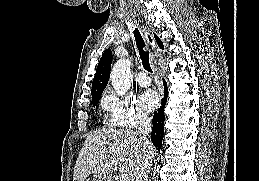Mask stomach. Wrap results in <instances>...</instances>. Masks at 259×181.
I'll list each match as a JSON object with an SVG mask.
<instances>
[{"label": "stomach", "instance_id": "stomach-1", "mask_svg": "<svg viewBox=\"0 0 259 181\" xmlns=\"http://www.w3.org/2000/svg\"><path fill=\"white\" fill-rule=\"evenodd\" d=\"M93 181H111V180L109 179V177H106L100 174H95Z\"/></svg>", "mask_w": 259, "mask_h": 181}]
</instances>
